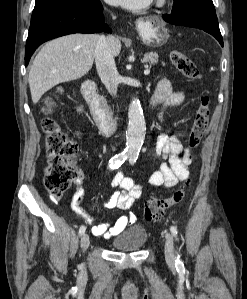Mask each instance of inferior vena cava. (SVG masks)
I'll return each mask as SVG.
<instances>
[{"label": "inferior vena cava", "mask_w": 247, "mask_h": 299, "mask_svg": "<svg viewBox=\"0 0 247 299\" xmlns=\"http://www.w3.org/2000/svg\"><path fill=\"white\" fill-rule=\"evenodd\" d=\"M95 63L101 81L104 83L109 93L116 96L120 82L119 73L109 46V41L104 35L99 36L97 40L95 48Z\"/></svg>", "instance_id": "1"}]
</instances>
